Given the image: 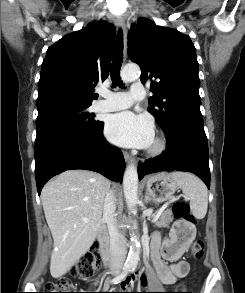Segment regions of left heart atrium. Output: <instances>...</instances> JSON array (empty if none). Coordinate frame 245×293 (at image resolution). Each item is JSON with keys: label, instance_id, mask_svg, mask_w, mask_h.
<instances>
[{"label": "left heart atrium", "instance_id": "1", "mask_svg": "<svg viewBox=\"0 0 245 293\" xmlns=\"http://www.w3.org/2000/svg\"><path fill=\"white\" fill-rule=\"evenodd\" d=\"M105 134L111 142L117 145L146 148L153 142L154 125L144 115L125 111L108 117Z\"/></svg>", "mask_w": 245, "mask_h": 293}]
</instances>
